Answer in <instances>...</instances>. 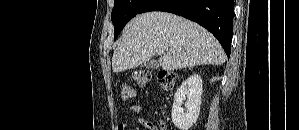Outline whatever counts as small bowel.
Wrapping results in <instances>:
<instances>
[{"instance_id":"small-bowel-1","label":"small bowel","mask_w":299,"mask_h":130,"mask_svg":"<svg viewBox=\"0 0 299 130\" xmlns=\"http://www.w3.org/2000/svg\"><path fill=\"white\" fill-rule=\"evenodd\" d=\"M126 110L131 113H134V114H139L141 112L142 108L139 104H131L128 107H126ZM138 122L145 128H147L149 130H153L154 124L151 121H149L143 117H139ZM127 128H128V125L126 123H121L117 127L118 130H127Z\"/></svg>"}]
</instances>
